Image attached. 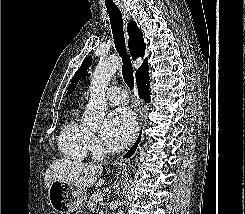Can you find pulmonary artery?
Returning <instances> with one entry per match:
<instances>
[{"label":"pulmonary artery","instance_id":"pulmonary-artery-1","mask_svg":"<svg viewBox=\"0 0 245 214\" xmlns=\"http://www.w3.org/2000/svg\"><path fill=\"white\" fill-rule=\"evenodd\" d=\"M106 97L115 104H126L129 98L127 92L118 87H110L107 90Z\"/></svg>","mask_w":245,"mask_h":214}]
</instances>
